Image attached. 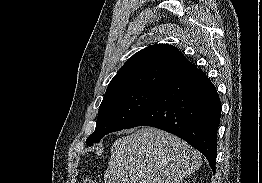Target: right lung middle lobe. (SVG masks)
<instances>
[{
	"instance_id": "1",
	"label": "right lung middle lobe",
	"mask_w": 262,
	"mask_h": 183,
	"mask_svg": "<svg viewBox=\"0 0 262 183\" xmlns=\"http://www.w3.org/2000/svg\"><path fill=\"white\" fill-rule=\"evenodd\" d=\"M156 93L157 90L137 89L106 94L99 107L96 129L87 138L86 144L90 146L105 135L124 129Z\"/></svg>"
}]
</instances>
